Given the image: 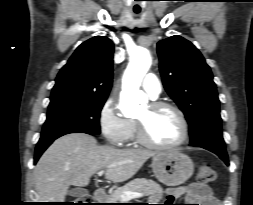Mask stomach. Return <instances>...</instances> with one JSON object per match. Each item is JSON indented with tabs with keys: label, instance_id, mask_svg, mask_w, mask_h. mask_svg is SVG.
Masks as SVG:
<instances>
[{
	"label": "stomach",
	"instance_id": "obj_1",
	"mask_svg": "<svg viewBox=\"0 0 253 205\" xmlns=\"http://www.w3.org/2000/svg\"><path fill=\"white\" fill-rule=\"evenodd\" d=\"M152 169L161 183L167 186H178L192 176L194 164L186 154L172 150L154 155Z\"/></svg>",
	"mask_w": 253,
	"mask_h": 205
}]
</instances>
